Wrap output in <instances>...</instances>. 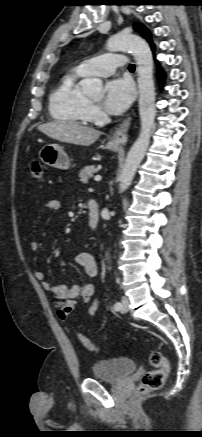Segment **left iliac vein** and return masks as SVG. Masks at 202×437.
<instances>
[{"label":"left iliac vein","mask_w":202,"mask_h":437,"mask_svg":"<svg viewBox=\"0 0 202 437\" xmlns=\"http://www.w3.org/2000/svg\"><path fill=\"white\" fill-rule=\"evenodd\" d=\"M129 300L126 296H123L121 299V313H126L128 311Z\"/></svg>","instance_id":"4c4485c4"}]
</instances>
